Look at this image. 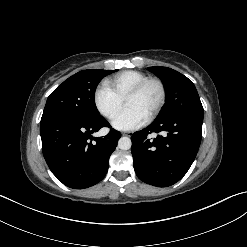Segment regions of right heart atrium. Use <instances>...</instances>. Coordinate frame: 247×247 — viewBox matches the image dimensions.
<instances>
[{"instance_id": "1", "label": "right heart atrium", "mask_w": 247, "mask_h": 247, "mask_svg": "<svg viewBox=\"0 0 247 247\" xmlns=\"http://www.w3.org/2000/svg\"><path fill=\"white\" fill-rule=\"evenodd\" d=\"M93 100L97 111L107 119H113L123 104V100L105 84L96 88Z\"/></svg>"}]
</instances>
